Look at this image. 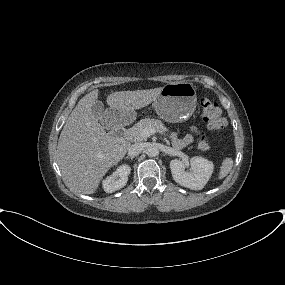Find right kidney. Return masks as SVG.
Instances as JSON below:
<instances>
[{
  "label": "right kidney",
  "mask_w": 285,
  "mask_h": 285,
  "mask_svg": "<svg viewBox=\"0 0 285 285\" xmlns=\"http://www.w3.org/2000/svg\"><path fill=\"white\" fill-rule=\"evenodd\" d=\"M131 167L127 164L121 165L112 175L103 180V189L106 193H113L123 188L127 181Z\"/></svg>",
  "instance_id": "ca27d5eb"
}]
</instances>
